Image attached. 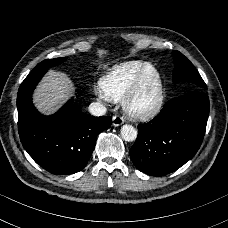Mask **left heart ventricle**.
I'll return each instance as SVG.
<instances>
[{
	"label": "left heart ventricle",
	"instance_id": "1",
	"mask_svg": "<svg viewBox=\"0 0 228 228\" xmlns=\"http://www.w3.org/2000/svg\"><path fill=\"white\" fill-rule=\"evenodd\" d=\"M157 99V76L155 72L150 71L142 88L139 103L143 106H150Z\"/></svg>",
	"mask_w": 228,
	"mask_h": 228
}]
</instances>
